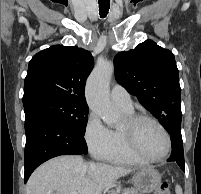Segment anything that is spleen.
Segmentation results:
<instances>
[{
    "label": "spleen",
    "mask_w": 201,
    "mask_h": 194,
    "mask_svg": "<svg viewBox=\"0 0 201 194\" xmlns=\"http://www.w3.org/2000/svg\"><path fill=\"white\" fill-rule=\"evenodd\" d=\"M175 192H176V194H183L182 188H181L180 185H176V187H175Z\"/></svg>",
    "instance_id": "obj_1"
}]
</instances>
